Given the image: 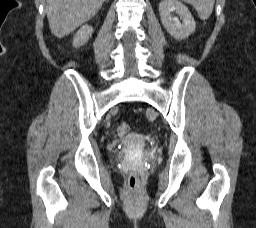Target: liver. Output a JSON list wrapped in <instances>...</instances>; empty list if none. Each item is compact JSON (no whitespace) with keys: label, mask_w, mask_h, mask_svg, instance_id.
<instances>
[{"label":"liver","mask_w":256,"mask_h":228,"mask_svg":"<svg viewBox=\"0 0 256 228\" xmlns=\"http://www.w3.org/2000/svg\"><path fill=\"white\" fill-rule=\"evenodd\" d=\"M105 0H47V18L51 32L63 38L89 21Z\"/></svg>","instance_id":"1"}]
</instances>
